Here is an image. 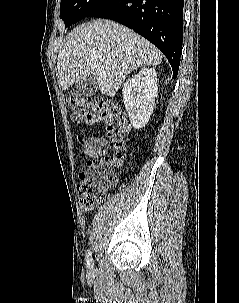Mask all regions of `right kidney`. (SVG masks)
I'll return each mask as SVG.
<instances>
[{"label":"right kidney","instance_id":"1","mask_svg":"<svg viewBox=\"0 0 239 303\" xmlns=\"http://www.w3.org/2000/svg\"><path fill=\"white\" fill-rule=\"evenodd\" d=\"M123 102L131 125L144 127L153 111L158 94L157 73L154 68H144L129 78L122 88Z\"/></svg>","mask_w":239,"mask_h":303}]
</instances>
